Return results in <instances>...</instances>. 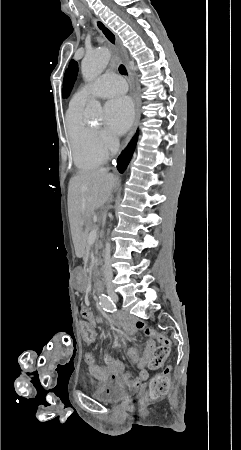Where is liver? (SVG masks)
<instances>
[{"instance_id":"liver-1","label":"liver","mask_w":241,"mask_h":450,"mask_svg":"<svg viewBox=\"0 0 241 450\" xmlns=\"http://www.w3.org/2000/svg\"><path fill=\"white\" fill-rule=\"evenodd\" d=\"M100 168L93 172H77L69 182V214L76 256H82L86 244L84 226L91 214L108 202L118 178Z\"/></svg>"}]
</instances>
